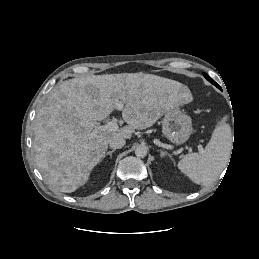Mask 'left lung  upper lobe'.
<instances>
[{
	"label": "left lung upper lobe",
	"instance_id": "1",
	"mask_svg": "<svg viewBox=\"0 0 259 259\" xmlns=\"http://www.w3.org/2000/svg\"><path fill=\"white\" fill-rule=\"evenodd\" d=\"M204 77H205L210 83H212L213 85H215V86H217V87L219 88L218 84H217L208 74L204 73Z\"/></svg>",
	"mask_w": 259,
	"mask_h": 259
}]
</instances>
